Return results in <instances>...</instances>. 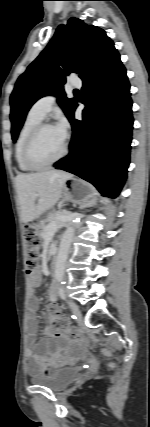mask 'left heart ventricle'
Listing matches in <instances>:
<instances>
[{
	"mask_svg": "<svg viewBox=\"0 0 150 427\" xmlns=\"http://www.w3.org/2000/svg\"><path fill=\"white\" fill-rule=\"evenodd\" d=\"M66 138L57 127L44 129L34 141L31 158L37 164L55 159L63 150Z\"/></svg>",
	"mask_w": 150,
	"mask_h": 427,
	"instance_id": "1",
	"label": "left heart ventricle"
}]
</instances>
